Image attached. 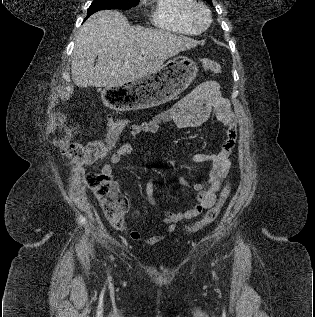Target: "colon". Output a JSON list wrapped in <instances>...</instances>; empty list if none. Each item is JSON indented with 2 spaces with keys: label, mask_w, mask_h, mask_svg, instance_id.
Returning a JSON list of instances; mask_svg holds the SVG:
<instances>
[{
  "label": "colon",
  "mask_w": 315,
  "mask_h": 317,
  "mask_svg": "<svg viewBox=\"0 0 315 317\" xmlns=\"http://www.w3.org/2000/svg\"><path fill=\"white\" fill-rule=\"evenodd\" d=\"M201 64L206 71L219 74L221 65L212 59H202ZM126 119H117L111 122L109 131L101 141L90 144L73 143L66 149V153L75 164L85 165L95 162L106 155L111 142L119 133L128 126ZM87 184L95 197L99 201L106 219L112 226L121 229L124 226V216L129 208L128 198L121 193L112 175L99 172H91L86 177ZM230 193V185L227 184L220 193V198L215 206L210 208L204 217L190 228L191 232H196L206 225L214 222L221 208Z\"/></svg>",
  "instance_id": "colon-1"
}]
</instances>
